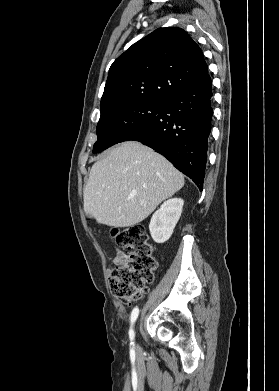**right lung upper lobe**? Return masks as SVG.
<instances>
[{
    "label": "right lung upper lobe",
    "mask_w": 279,
    "mask_h": 391,
    "mask_svg": "<svg viewBox=\"0 0 279 391\" xmlns=\"http://www.w3.org/2000/svg\"><path fill=\"white\" fill-rule=\"evenodd\" d=\"M200 47L180 28H160L111 65L101 113L138 102H165L207 74Z\"/></svg>",
    "instance_id": "obj_1"
}]
</instances>
